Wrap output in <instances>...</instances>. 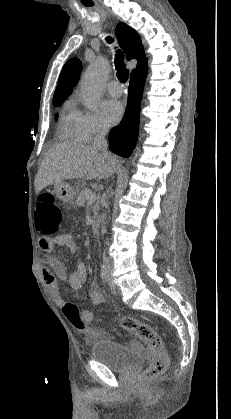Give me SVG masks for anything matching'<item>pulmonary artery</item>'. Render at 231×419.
Here are the masks:
<instances>
[{
    "label": "pulmonary artery",
    "mask_w": 231,
    "mask_h": 419,
    "mask_svg": "<svg viewBox=\"0 0 231 419\" xmlns=\"http://www.w3.org/2000/svg\"><path fill=\"white\" fill-rule=\"evenodd\" d=\"M107 91L112 96H120L123 92L121 85L117 81H111L107 85Z\"/></svg>",
    "instance_id": "e3ab8cb5"
}]
</instances>
